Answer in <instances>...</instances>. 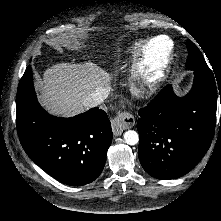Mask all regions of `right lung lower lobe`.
Segmentation results:
<instances>
[{
    "label": "right lung lower lobe",
    "instance_id": "obj_1",
    "mask_svg": "<svg viewBox=\"0 0 221 221\" xmlns=\"http://www.w3.org/2000/svg\"><path fill=\"white\" fill-rule=\"evenodd\" d=\"M16 124L28 156L56 180L71 186L94 181L102 172L113 134L107 114L97 107L58 118L39 105L28 66L16 99Z\"/></svg>",
    "mask_w": 221,
    "mask_h": 221
}]
</instances>
